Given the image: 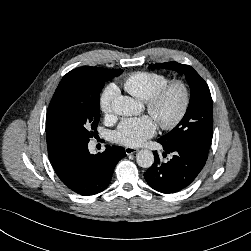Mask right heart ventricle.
<instances>
[{
    "label": "right heart ventricle",
    "instance_id": "1",
    "mask_svg": "<svg viewBox=\"0 0 251 251\" xmlns=\"http://www.w3.org/2000/svg\"><path fill=\"white\" fill-rule=\"evenodd\" d=\"M169 82L168 76L156 72H137L127 77L124 89L135 98L147 101L156 91Z\"/></svg>",
    "mask_w": 251,
    "mask_h": 251
}]
</instances>
